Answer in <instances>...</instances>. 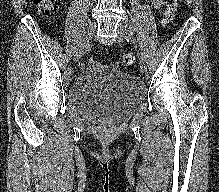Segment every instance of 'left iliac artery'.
Segmentation results:
<instances>
[{"instance_id":"obj_1","label":"left iliac artery","mask_w":219,"mask_h":192,"mask_svg":"<svg viewBox=\"0 0 219 192\" xmlns=\"http://www.w3.org/2000/svg\"><path fill=\"white\" fill-rule=\"evenodd\" d=\"M126 40L129 42H133V44L135 45V47H137V41L132 37V30L130 29V33L126 36ZM139 53V58H144V55L142 52H140L138 50Z\"/></svg>"}]
</instances>
